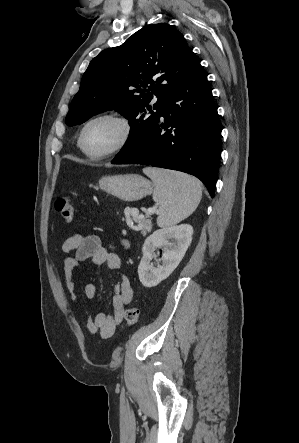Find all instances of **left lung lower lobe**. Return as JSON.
<instances>
[{"instance_id":"obj_1","label":"left lung lower lobe","mask_w":299,"mask_h":443,"mask_svg":"<svg viewBox=\"0 0 299 443\" xmlns=\"http://www.w3.org/2000/svg\"><path fill=\"white\" fill-rule=\"evenodd\" d=\"M220 132L211 88L198 63L168 93L154 124L112 163L151 165L194 175L213 197Z\"/></svg>"}]
</instances>
